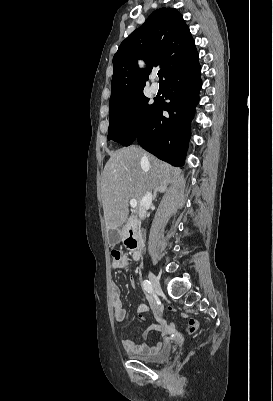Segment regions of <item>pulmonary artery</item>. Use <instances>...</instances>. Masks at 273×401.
<instances>
[{
    "label": "pulmonary artery",
    "mask_w": 273,
    "mask_h": 401,
    "mask_svg": "<svg viewBox=\"0 0 273 401\" xmlns=\"http://www.w3.org/2000/svg\"><path fill=\"white\" fill-rule=\"evenodd\" d=\"M151 88L153 89V91H158V89L161 88L162 83L160 80H152L150 83Z\"/></svg>",
    "instance_id": "e3ab8cb5"
}]
</instances>
